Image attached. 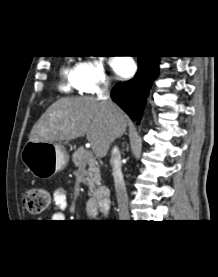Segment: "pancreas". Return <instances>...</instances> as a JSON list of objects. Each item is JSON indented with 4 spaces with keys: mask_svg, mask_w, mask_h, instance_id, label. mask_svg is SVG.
<instances>
[{
    "mask_svg": "<svg viewBox=\"0 0 218 277\" xmlns=\"http://www.w3.org/2000/svg\"><path fill=\"white\" fill-rule=\"evenodd\" d=\"M72 161L76 167L88 166V171L85 174L86 182L89 194H93L101 181L100 168L93 154L80 147L73 153Z\"/></svg>",
    "mask_w": 218,
    "mask_h": 277,
    "instance_id": "1",
    "label": "pancreas"
}]
</instances>
